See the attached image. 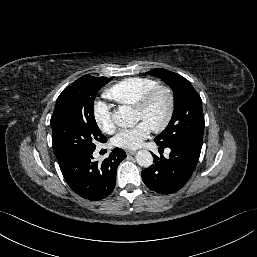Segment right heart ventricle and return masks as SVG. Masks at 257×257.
<instances>
[{
	"mask_svg": "<svg viewBox=\"0 0 257 257\" xmlns=\"http://www.w3.org/2000/svg\"><path fill=\"white\" fill-rule=\"evenodd\" d=\"M156 86L158 83L154 79L131 77L113 84L104 95L119 104L135 107L140 99Z\"/></svg>",
	"mask_w": 257,
	"mask_h": 257,
	"instance_id": "e07e8e85",
	"label": "right heart ventricle"
}]
</instances>
